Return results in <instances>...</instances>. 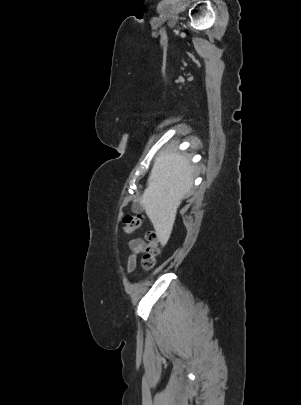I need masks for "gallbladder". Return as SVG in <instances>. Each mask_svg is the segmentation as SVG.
Segmentation results:
<instances>
[{
    "instance_id": "obj_1",
    "label": "gallbladder",
    "mask_w": 301,
    "mask_h": 405,
    "mask_svg": "<svg viewBox=\"0 0 301 405\" xmlns=\"http://www.w3.org/2000/svg\"><path fill=\"white\" fill-rule=\"evenodd\" d=\"M131 209H132V212H134V213H136V214L142 213L143 210H144V208H143V206L141 205L140 201L134 202L133 205H132V207H131Z\"/></svg>"
}]
</instances>
